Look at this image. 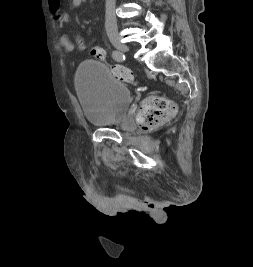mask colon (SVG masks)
<instances>
[{
    "label": "colon",
    "mask_w": 253,
    "mask_h": 267,
    "mask_svg": "<svg viewBox=\"0 0 253 267\" xmlns=\"http://www.w3.org/2000/svg\"><path fill=\"white\" fill-rule=\"evenodd\" d=\"M75 49L80 52H85L90 49L92 57L99 61L105 62V51L98 46L90 47L79 35L75 34L73 37ZM111 71L116 78L127 83H134L135 77L133 72L121 65L111 66ZM174 112V106L165 98L152 96L145 100L139 114L138 121L144 129H152L159 125L161 122L169 118Z\"/></svg>",
    "instance_id": "5ec220e1"
}]
</instances>
